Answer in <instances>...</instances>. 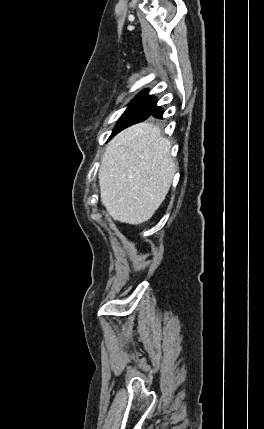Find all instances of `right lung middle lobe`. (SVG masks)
Masks as SVG:
<instances>
[{
	"label": "right lung middle lobe",
	"instance_id": "1",
	"mask_svg": "<svg viewBox=\"0 0 264 429\" xmlns=\"http://www.w3.org/2000/svg\"><path fill=\"white\" fill-rule=\"evenodd\" d=\"M147 90L142 91L129 105L128 109L119 119L113 133L114 136L116 133L122 129L128 127L131 124L145 120L152 108L156 104V99L152 96H148Z\"/></svg>",
	"mask_w": 264,
	"mask_h": 429
}]
</instances>
